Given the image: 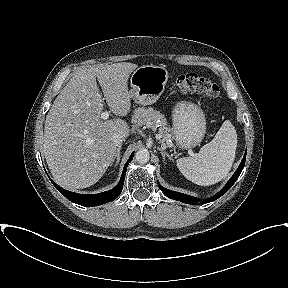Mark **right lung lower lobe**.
Masks as SVG:
<instances>
[{
	"label": "right lung lower lobe",
	"mask_w": 288,
	"mask_h": 288,
	"mask_svg": "<svg viewBox=\"0 0 288 288\" xmlns=\"http://www.w3.org/2000/svg\"><path fill=\"white\" fill-rule=\"evenodd\" d=\"M133 153L131 154L130 158L128 159L127 163L125 164L122 172L121 179L119 183L112 189L103 193L99 194H77L74 192L67 191L61 187H59L57 184H55L52 180L51 182L54 184V186L58 189V191L64 195L67 199H69L71 202H74L76 204H79L84 207H92V206H97V205H102L104 203L113 201L116 199L122 189H123V184H124V179H125V174L127 171V166L133 159Z\"/></svg>",
	"instance_id": "1"
}]
</instances>
